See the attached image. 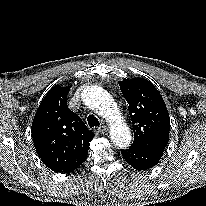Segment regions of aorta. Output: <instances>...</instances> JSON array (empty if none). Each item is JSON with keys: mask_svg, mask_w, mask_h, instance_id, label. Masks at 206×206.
Here are the masks:
<instances>
[{"mask_svg": "<svg viewBox=\"0 0 206 206\" xmlns=\"http://www.w3.org/2000/svg\"><path fill=\"white\" fill-rule=\"evenodd\" d=\"M83 100L98 115L110 122V138L119 148H126L131 142V133L124 122L116 102L103 88L91 86L83 93Z\"/></svg>", "mask_w": 206, "mask_h": 206, "instance_id": "1", "label": "aorta"}]
</instances>
